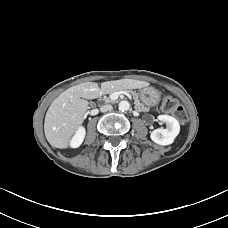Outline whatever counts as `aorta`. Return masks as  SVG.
<instances>
[{"instance_id": "aorta-1", "label": "aorta", "mask_w": 228, "mask_h": 228, "mask_svg": "<svg viewBox=\"0 0 228 228\" xmlns=\"http://www.w3.org/2000/svg\"><path fill=\"white\" fill-rule=\"evenodd\" d=\"M118 106H119V110L127 111L130 108V103L128 101L123 100L119 103Z\"/></svg>"}]
</instances>
